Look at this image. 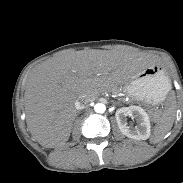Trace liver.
Segmentation results:
<instances>
[{
    "label": "liver",
    "mask_w": 183,
    "mask_h": 183,
    "mask_svg": "<svg viewBox=\"0 0 183 183\" xmlns=\"http://www.w3.org/2000/svg\"><path fill=\"white\" fill-rule=\"evenodd\" d=\"M150 62L118 50H80L58 55L34 67L26 81L24 106L28 129L42 146L68 141L76 117L74 103L123 85Z\"/></svg>",
    "instance_id": "6515ba94"
}]
</instances>
